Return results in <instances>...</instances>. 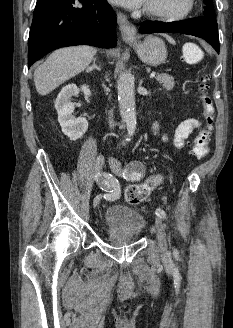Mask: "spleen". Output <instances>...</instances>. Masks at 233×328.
<instances>
[{"mask_svg":"<svg viewBox=\"0 0 233 328\" xmlns=\"http://www.w3.org/2000/svg\"><path fill=\"white\" fill-rule=\"evenodd\" d=\"M185 48H186V49H191V50H193V52H194L196 55H198V53H199L198 48H197L194 44H192V43H187V44L185 45Z\"/></svg>","mask_w":233,"mask_h":328,"instance_id":"obj_1","label":"spleen"}]
</instances>
